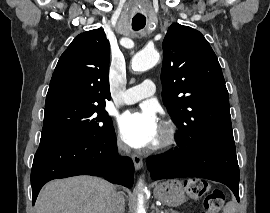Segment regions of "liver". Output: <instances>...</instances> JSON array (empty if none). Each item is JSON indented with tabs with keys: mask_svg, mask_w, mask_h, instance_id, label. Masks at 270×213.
<instances>
[{
	"mask_svg": "<svg viewBox=\"0 0 270 213\" xmlns=\"http://www.w3.org/2000/svg\"><path fill=\"white\" fill-rule=\"evenodd\" d=\"M112 184L92 176L54 180L41 190L36 213H109Z\"/></svg>",
	"mask_w": 270,
	"mask_h": 213,
	"instance_id": "liver-1",
	"label": "liver"
}]
</instances>
